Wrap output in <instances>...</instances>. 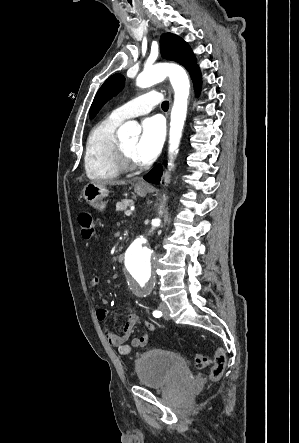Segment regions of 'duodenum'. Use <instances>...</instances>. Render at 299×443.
<instances>
[{"label":"duodenum","mask_w":299,"mask_h":443,"mask_svg":"<svg viewBox=\"0 0 299 443\" xmlns=\"http://www.w3.org/2000/svg\"><path fill=\"white\" fill-rule=\"evenodd\" d=\"M122 258H123V255H119V256L117 257L118 261H120Z\"/></svg>","instance_id":"obj_1"}]
</instances>
